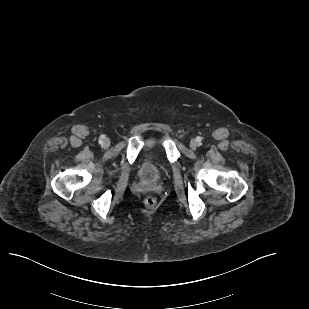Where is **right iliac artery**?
<instances>
[{"label":"right iliac artery","instance_id":"right-iliac-artery-1","mask_svg":"<svg viewBox=\"0 0 309 309\" xmlns=\"http://www.w3.org/2000/svg\"><path fill=\"white\" fill-rule=\"evenodd\" d=\"M102 142H103V140H102V139H100V140H99V143L101 144Z\"/></svg>","mask_w":309,"mask_h":309}]
</instances>
